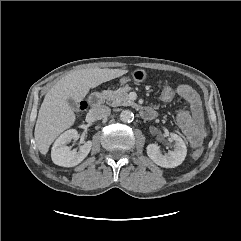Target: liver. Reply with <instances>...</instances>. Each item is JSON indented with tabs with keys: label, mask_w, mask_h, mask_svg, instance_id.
Returning a JSON list of instances; mask_svg holds the SVG:
<instances>
[{
	"label": "liver",
	"mask_w": 241,
	"mask_h": 241,
	"mask_svg": "<svg viewBox=\"0 0 241 241\" xmlns=\"http://www.w3.org/2000/svg\"><path fill=\"white\" fill-rule=\"evenodd\" d=\"M127 73L124 69H81L68 73L48 91L39 109L34 137L41 154L46 155L50 145L76 119L68 99L81 101L91 88Z\"/></svg>",
	"instance_id": "1"
}]
</instances>
